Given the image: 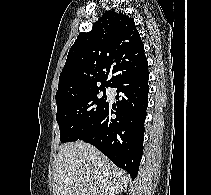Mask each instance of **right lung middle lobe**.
Returning a JSON list of instances; mask_svg holds the SVG:
<instances>
[{
    "label": "right lung middle lobe",
    "instance_id": "1",
    "mask_svg": "<svg viewBox=\"0 0 211 195\" xmlns=\"http://www.w3.org/2000/svg\"><path fill=\"white\" fill-rule=\"evenodd\" d=\"M99 91H103V95ZM108 104L105 89L90 91L58 104L56 119L60 141L65 143L78 140L101 116Z\"/></svg>",
    "mask_w": 211,
    "mask_h": 195
}]
</instances>
